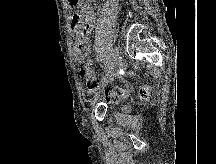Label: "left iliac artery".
Masks as SVG:
<instances>
[{
    "label": "left iliac artery",
    "instance_id": "1",
    "mask_svg": "<svg viewBox=\"0 0 216 164\" xmlns=\"http://www.w3.org/2000/svg\"><path fill=\"white\" fill-rule=\"evenodd\" d=\"M107 70H112V64L109 62L106 66V69H103L102 72L99 74L101 77L107 73Z\"/></svg>",
    "mask_w": 216,
    "mask_h": 164
}]
</instances>
